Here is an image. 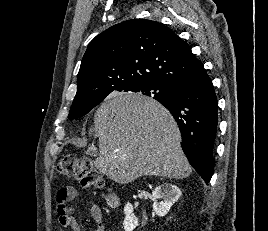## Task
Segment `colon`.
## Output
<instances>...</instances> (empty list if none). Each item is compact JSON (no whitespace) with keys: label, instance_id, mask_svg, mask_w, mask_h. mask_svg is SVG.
Masks as SVG:
<instances>
[{"label":"colon","instance_id":"obj_1","mask_svg":"<svg viewBox=\"0 0 268 231\" xmlns=\"http://www.w3.org/2000/svg\"><path fill=\"white\" fill-rule=\"evenodd\" d=\"M56 173L63 177H76L87 189L101 186L98 170L91 165L88 159L79 158L73 154L65 155L57 162ZM65 194L63 192V196Z\"/></svg>","mask_w":268,"mask_h":231}]
</instances>
